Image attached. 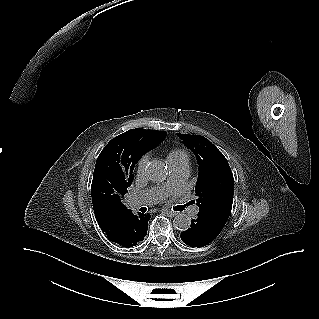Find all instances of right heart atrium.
I'll use <instances>...</instances> for the list:
<instances>
[{"label":"right heart atrium","instance_id":"obj_1","mask_svg":"<svg viewBox=\"0 0 319 319\" xmlns=\"http://www.w3.org/2000/svg\"><path fill=\"white\" fill-rule=\"evenodd\" d=\"M149 157L147 155L142 156L137 163V174L143 175L148 164Z\"/></svg>","mask_w":319,"mask_h":319}]
</instances>
